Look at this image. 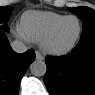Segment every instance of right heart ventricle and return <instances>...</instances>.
I'll use <instances>...</instances> for the list:
<instances>
[{"instance_id": "right-heart-ventricle-1", "label": "right heart ventricle", "mask_w": 95, "mask_h": 95, "mask_svg": "<svg viewBox=\"0 0 95 95\" xmlns=\"http://www.w3.org/2000/svg\"><path fill=\"white\" fill-rule=\"evenodd\" d=\"M65 15L50 11H27L20 20V28L34 42H40L43 36Z\"/></svg>"}]
</instances>
